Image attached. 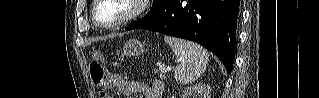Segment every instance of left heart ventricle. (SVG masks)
<instances>
[{
  "mask_svg": "<svg viewBox=\"0 0 319 98\" xmlns=\"http://www.w3.org/2000/svg\"><path fill=\"white\" fill-rule=\"evenodd\" d=\"M131 9L127 0H104L98 7L97 18L102 24H110L126 16Z\"/></svg>",
  "mask_w": 319,
  "mask_h": 98,
  "instance_id": "left-heart-ventricle-1",
  "label": "left heart ventricle"
}]
</instances>
